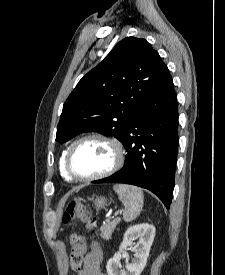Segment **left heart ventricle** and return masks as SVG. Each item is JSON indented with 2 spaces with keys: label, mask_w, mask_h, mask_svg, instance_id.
Wrapping results in <instances>:
<instances>
[{
  "label": "left heart ventricle",
  "mask_w": 225,
  "mask_h": 275,
  "mask_svg": "<svg viewBox=\"0 0 225 275\" xmlns=\"http://www.w3.org/2000/svg\"><path fill=\"white\" fill-rule=\"evenodd\" d=\"M113 163V150L100 140H88L76 147L71 165L78 175L88 176L104 172Z\"/></svg>",
  "instance_id": "obj_1"
}]
</instances>
